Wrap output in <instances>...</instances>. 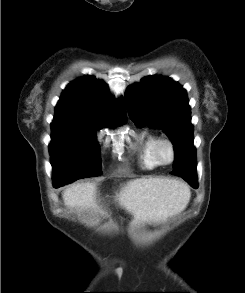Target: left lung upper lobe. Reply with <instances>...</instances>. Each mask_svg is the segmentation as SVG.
I'll return each instance as SVG.
<instances>
[{"mask_svg": "<svg viewBox=\"0 0 245 293\" xmlns=\"http://www.w3.org/2000/svg\"><path fill=\"white\" fill-rule=\"evenodd\" d=\"M127 110L137 126L163 129L175 150L174 175L196 176V149L187 93L167 77L148 76L126 92Z\"/></svg>", "mask_w": 245, "mask_h": 293, "instance_id": "left-lung-upper-lobe-1", "label": "left lung upper lobe"}]
</instances>
